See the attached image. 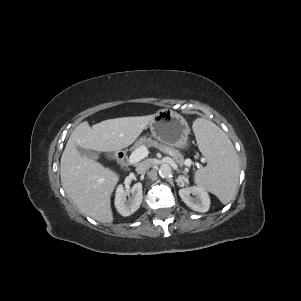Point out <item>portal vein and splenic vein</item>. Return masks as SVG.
I'll list each match as a JSON object with an SVG mask.
<instances>
[{
    "label": "portal vein and splenic vein",
    "mask_w": 301,
    "mask_h": 301,
    "mask_svg": "<svg viewBox=\"0 0 301 301\" xmlns=\"http://www.w3.org/2000/svg\"><path fill=\"white\" fill-rule=\"evenodd\" d=\"M149 151L146 146H141L138 149L134 150L129 157V164H135L147 157Z\"/></svg>",
    "instance_id": "obj_1"
}]
</instances>
